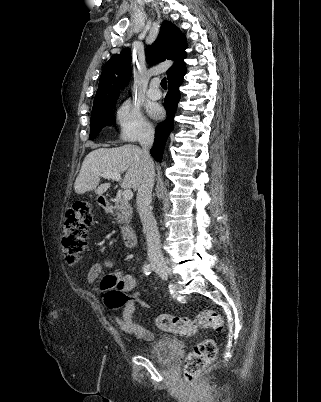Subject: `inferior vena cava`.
I'll use <instances>...</instances> for the list:
<instances>
[{
  "mask_svg": "<svg viewBox=\"0 0 321 402\" xmlns=\"http://www.w3.org/2000/svg\"><path fill=\"white\" fill-rule=\"evenodd\" d=\"M154 143V130L146 128L140 139L142 147V157L144 164V173L137 192V210L143 225V231L146 235L148 259L151 266L155 269L164 268L165 260L161 251L160 235L156 220L151 212L152 189L155 180V170L153 160L149 150Z\"/></svg>",
  "mask_w": 321,
  "mask_h": 402,
  "instance_id": "602c4592",
  "label": "inferior vena cava"
}]
</instances>
